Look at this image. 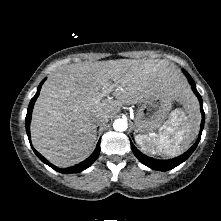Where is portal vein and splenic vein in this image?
I'll use <instances>...</instances> for the list:
<instances>
[{
	"label": "portal vein and splenic vein",
	"mask_w": 221,
	"mask_h": 221,
	"mask_svg": "<svg viewBox=\"0 0 221 221\" xmlns=\"http://www.w3.org/2000/svg\"><path fill=\"white\" fill-rule=\"evenodd\" d=\"M110 91H111L110 89H105L104 92H105V94H106V93H109ZM102 95H104V94H102Z\"/></svg>",
	"instance_id": "portal-vein-and-splenic-vein-1"
}]
</instances>
